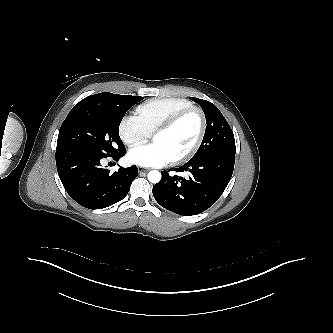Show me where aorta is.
<instances>
[{
  "mask_svg": "<svg viewBox=\"0 0 333 333\" xmlns=\"http://www.w3.org/2000/svg\"><path fill=\"white\" fill-rule=\"evenodd\" d=\"M147 177L151 183L156 184L161 180V173L157 170H152L148 173Z\"/></svg>",
  "mask_w": 333,
  "mask_h": 333,
  "instance_id": "1",
  "label": "aorta"
}]
</instances>
